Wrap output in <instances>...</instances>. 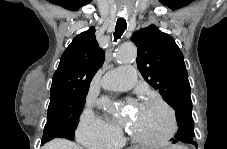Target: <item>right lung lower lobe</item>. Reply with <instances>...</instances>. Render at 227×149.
<instances>
[{"instance_id": "98d812e1", "label": "right lung lower lobe", "mask_w": 227, "mask_h": 149, "mask_svg": "<svg viewBox=\"0 0 227 149\" xmlns=\"http://www.w3.org/2000/svg\"><path fill=\"white\" fill-rule=\"evenodd\" d=\"M52 139H53V137H47L45 140L42 141L41 144L43 145V144H45L46 142H48V141H50V140H52ZM73 139H74V138H69V140H73Z\"/></svg>"}]
</instances>
